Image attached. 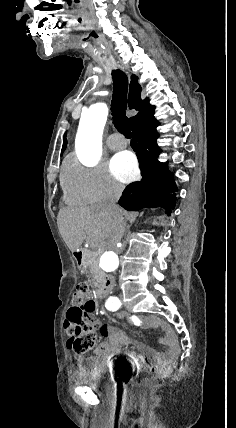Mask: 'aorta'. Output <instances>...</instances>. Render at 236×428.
<instances>
[{"mask_svg":"<svg viewBox=\"0 0 236 428\" xmlns=\"http://www.w3.org/2000/svg\"><path fill=\"white\" fill-rule=\"evenodd\" d=\"M108 108L97 103L83 112L76 135V151L85 164H96L102 154V134L107 120ZM119 266L116 252L106 251L100 259V267L106 271H115Z\"/></svg>","mask_w":236,"mask_h":428,"instance_id":"aorta-1","label":"aorta"}]
</instances>
